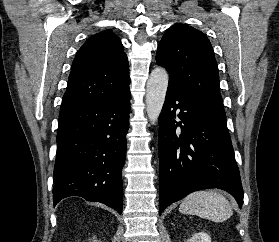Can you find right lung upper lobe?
I'll return each mask as SVG.
<instances>
[{
  "label": "right lung upper lobe",
  "mask_w": 279,
  "mask_h": 242,
  "mask_svg": "<svg viewBox=\"0 0 279 242\" xmlns=\"http://www.w3.org/2000/svg\"><path fill=\"white\" fill-rule=\"evenodd\" d=\"M129 83L128 59L119 37L110 30L99 32L76 54L61 109L118 96Z\"/></svg>",
  "instance_id": "cb5924a9"
}]
</instances>
